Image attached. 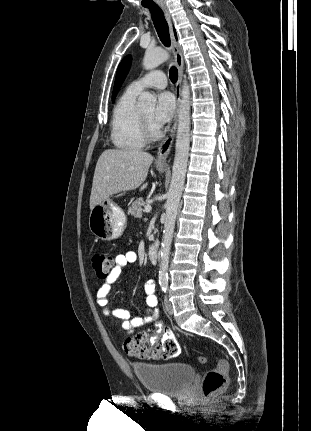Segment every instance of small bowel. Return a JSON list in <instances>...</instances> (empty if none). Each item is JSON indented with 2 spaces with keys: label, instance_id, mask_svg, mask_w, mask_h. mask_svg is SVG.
Here are the masks:
<instances>
[{
  "label": "small bowel",
  "instance_id": "small-bowel-1",
  "mask_svg": "<svg viewBox=\"0 0 311 431\" xmlns=\"http://www.w3.org/2000/svg\"><path fill=\"white\" fill-rule=\"evenodd\" d=\"M137 261V254L134 251H127L118 254L115 258V267L109 273L103 284L100 286L96 300L102 309V313L110 316L120 323L126 334H132L136 328L155 322V335L151 339H157L160 334L164 336H174L172 331L164 329L159 321L158 299L155 295V282L148 280L145 283V302L147 305L146 314L140 317H130V312L125 309L111 308L109 305V293L113 283L119 278L123 269L133 265ZM147 336L146 333H142Z\"/></svg>",
  "mask_w": 311,
  "mask_h": 431
}]
</instances>
